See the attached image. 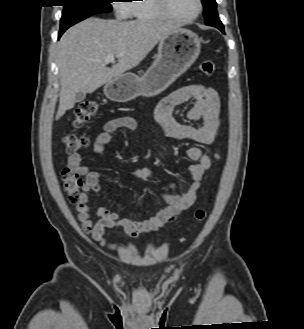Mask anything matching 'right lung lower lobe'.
Returning a JSON list of instances; mask_svg holds the SVG:
<instances>
[{
  "label": "right lung lower lobe",
  "mask_w": 304,
  "mask_h": 329,
  "mask_svg": "<svg viewBox=\"0 0 304 329\" xmlns=\"http://www.w3.org/2000/svg\"><path fill=\"white\" fill-rule=\"evenodd\" d=\"M64 31H65V30H60V31H59V36H58V38H60V36L63 34Z\"/></svg>",
  "instance_id": "1"
}]
</instances>
